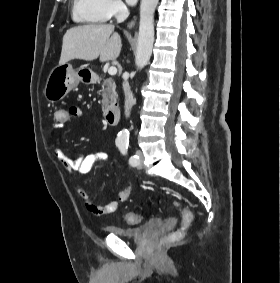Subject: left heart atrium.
I'll return each mask as SVG.
<instances>
[{"mask_svg": "<svg viewBox=\"0 0 280 283\" xmlns=\"http://www.w3.org/2000/svg\"><path fill=\"white\" fill-rule=\"evenodd\" d=\"M126 2L130 5H135L137 0H126Z\"/></svg>", "mask_w": 280, "mask_h": 283, "instance_id": "39dd6f15", "label": "left heart atrium"}]
</instances>
